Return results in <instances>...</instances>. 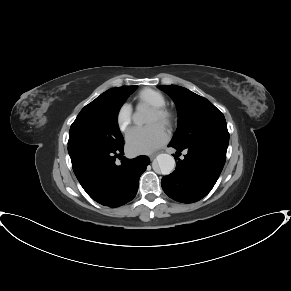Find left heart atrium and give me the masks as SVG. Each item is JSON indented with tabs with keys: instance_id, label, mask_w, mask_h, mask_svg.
<instances>
[{
	"instance_id": "left-heart-atrium-1",
	"label": "left heart atrium",
	"mask_w": 291,
	"mask_h": 291,
	"mask_svg": "<svg viewBox=\"0 0 291 291\" xmlns=\"http://www.w3.org/2000/svg\"><path fill=\"white\" fill-rule=\"evenodd\" d=\"M168 140V135L160 123L133 129L126 138L127 151L132 155L149 154Z\"/></svg>"
}]
</instances>
